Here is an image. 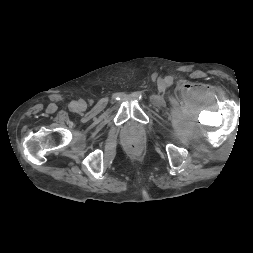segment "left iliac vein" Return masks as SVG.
<instances>
[{
  "instance_id": "left-iliac-vein-1",
  "label": "left iliac vein",
  "mask_w": 253,
  "mask_h": 253,
  "mask_svg": "<svg viewBox=\"0 0 253 253\" xmlns=\"http://www.w3.org/2000/svg\"><path fill=\"white\" fill-rule=\"evenodd\" d=\"M164 88V85L163 83L161 82L160 85H159V89H163Z\"/></svg>"
}]
</instances>
